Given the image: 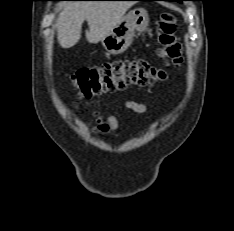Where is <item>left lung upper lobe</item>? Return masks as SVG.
<instances>
[{"mask_svg":"<svg viewBox=\"0 0 234 231\" xmlns=\"http://www.w3.org/2000/svg\"><path fill=\"white\" fill-rule=\"evenodd\" d=\"M176 1H178V2H182V1H186V0H176Z\"/></svg>","mask_w":234,"mask_h":231,"instance_id":"left-lung-upper-lobe-1","label":"left lung upper lobe"}]
</instances>
